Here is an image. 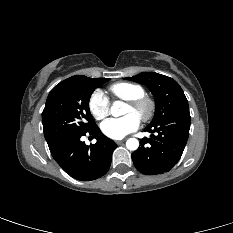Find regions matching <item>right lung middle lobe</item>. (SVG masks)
Listing matches in <instances>:
<instances>
[{
  "label": "right lung middle lobe",
  "mask_w": 233,
  "mask_h": 233,
  "mask_svg": "<svg viewBox=\"0 0 233 233\" xmlns=\"http://www.w3.org/2000/svg\"><path fill=\"white\" fill-rule=\"evenodd\" d=\"M107 81L78 75L74 80L60 82L50 91L42 112L47 143L66 135L85 133L96 125L90 114L89 99Z\"/></svg>",
  "instance_id": "obj_1"
}]
</instances>
